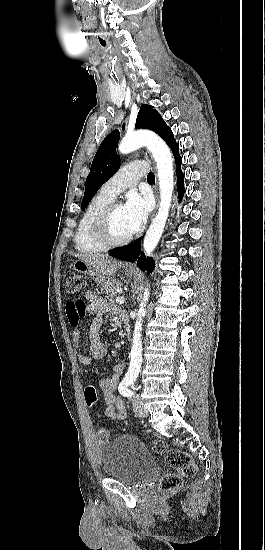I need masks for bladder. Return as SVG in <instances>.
Wrapping results in <instances>:
<instances>
[{"mask_svg": "<svg viewBox=\"0 0 265 550\" xmlns=\"http://www.w3.org/2000/svg\"><path fill=\"white\" fill-rule=\"evenodd\" d=\"M106 477L137 485L154 472L157 461L146 445L133 435H121L101 448Z\"/></svg>", "mask_w": 265, "mask_h": 550, "instance_id": "31cf9c89", "label": "bladder"}]
</instances>
